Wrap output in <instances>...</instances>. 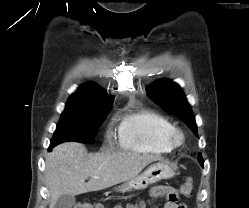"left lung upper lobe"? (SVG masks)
I'll use <instances>...</instances> for the list:
<instances>
[{"label":"left lung upper lobe","instance_id":"left-lung-upper-lobe-1","mask_svg":"<svg viewBox=\"0 0 249 208\" xmlns=\"http://www.w3.org/2000/svg\"><path fill=\"white\" fill-rule=\"evenodd\" d=\"M147 94L166 112L172 113L185 121L188 127L197 135V126L192 109L177 84L168 79H161L147 89ZM198 161L203 166L201 154L198 156Z\"/></svg>","mask_w":249,"mask_h":208}]
</instances>
